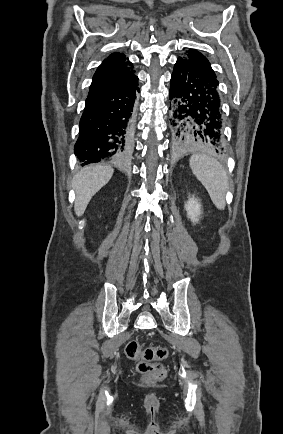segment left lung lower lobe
Returning <instances> with one entry per match:
<instances>
[{
	"instance_id": "left-lung-lower-lobe-1",
	"label": "left lung lower lobe",
	"mask_w": 283,
	"mask_h": 434,
	"mask_svg": "<svg viewBox=\"0 0 283 434\" xmlns=\"http://www.w3.org/2000/svg\"><path fill=\"white\" fill-rule=\"evenodd\" d=\"M169 99L174 145L223 154L221 97L216 75L178 58Z\"/></svg>"
}]
</instances>
